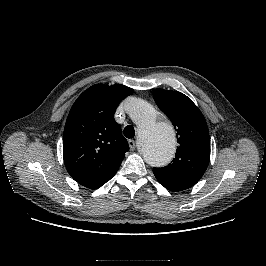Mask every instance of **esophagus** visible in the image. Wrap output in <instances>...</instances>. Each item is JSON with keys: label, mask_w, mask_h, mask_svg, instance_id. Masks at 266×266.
Instances as JSON below:
<instances>
[{"label": "esophagus", "mask_w": 266, "mask_h": 266, "mask_svg": "<svg viewBox=\"0 0 266 266\" xmlns=\"http://www.w3.org/2000/svg\"><path fill=\"white\" fill-rule=\"evenodd\" d=\"M128 144H129V147L131 150H134L135 149V141L130 139L128 140Z\"/></svg>", "instance_id": "obj_1"}]
</instances>
